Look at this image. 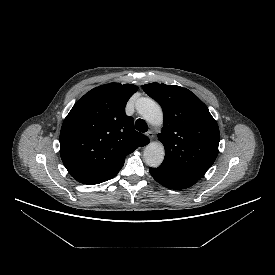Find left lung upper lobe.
Returning <instances> with one entry per match:
<instances>
[{"mask_svg":"<svg viewBox=\"0 0 275 275\" xmlns=\"http://www.w3.org/2000/svg\"><path fill=\"white\" fill-rule=\"evenodd\" d=\"M143 90L163 109L164 126L158 134L165 148L161 166L199 180L218 155L217 122L207 106L186 88L154 82L144 85Z\"/></svg>","mask_w":275,"mask_h":275,"instance_id":"obj_1","label":"left lung upper lobe"}]
</instances>
